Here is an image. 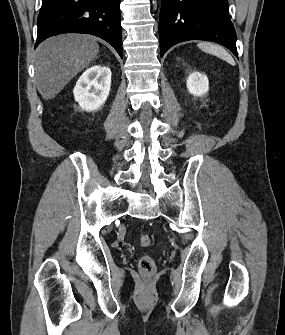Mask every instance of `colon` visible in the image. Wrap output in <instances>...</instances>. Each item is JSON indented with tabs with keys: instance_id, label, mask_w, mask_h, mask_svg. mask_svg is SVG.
Segmentation results:
<instances>
[{
	"instance_id": "5ec220e1",
	"label": "colon",
	"mask_w": 285,
	"mask_h": 335,
	"mask_svg": "<svg viewBox=\"0 0 285 335\" xmlns=\"http://www.w3.org/2000/svg\"><path fill=\"white\" fill-rule=\"evenodd\" d=\"M138 241L141 246L147 247L151 243V238L148 234H141ZM139 270L144 276H150L154 274L156 271V264L154 259L149 255L141 257L139 260Z\"/></svg>"
}]
</instances>
